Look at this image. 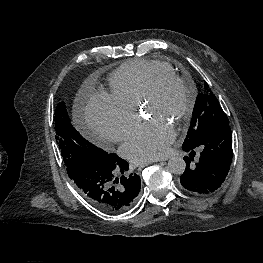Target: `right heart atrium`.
<instances>
[{"mask_svg":"<svg viewBox=\"0 0 263 263\" xmlns=\"http://www.w3.org/2000/svg\"><path fill=\"white\" fill-rule=\"evenodd\" d=\"M137 120L135 109L106 92L91 96L84 111L86 126L102 146L124 140Z\"/></svg>","mask_w":263,"mask_h":263,"instance_id":"obj_1","label":"right heart atrium"}]
</instances>
